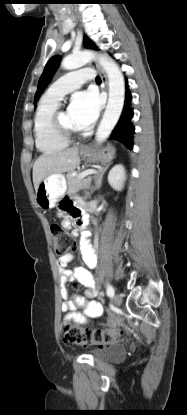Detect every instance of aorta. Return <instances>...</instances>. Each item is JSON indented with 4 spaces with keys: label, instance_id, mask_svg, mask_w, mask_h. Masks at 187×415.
I'll list each match as a JSON object with an SVG mask.
<instances>
[{
    "label": "aorta",
    "instance_id": "aorta-1",
    "mask_svg": "<svg viewBox=\"0 0 187 415\" xmlns=\"http://www.w3.org/2000/svg\"><path fill=\"white\" fill-rule=\"evenodd\" d=\"M93 59H97L100 66L105 70L109 81V98L98 126L95 138L98 142L105 141L116 126L123 110L125 101V81L119 66L110 61L106 56L92 51H81L65 57L61 66L66 70H73L86 65Z\"/></svg>",
    "mask_w": 187,
    "mask_h": 415
}]
</instances>
